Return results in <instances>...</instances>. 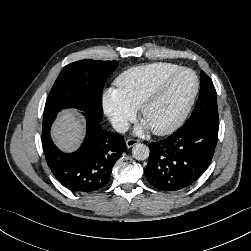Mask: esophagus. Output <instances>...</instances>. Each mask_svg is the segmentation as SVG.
Instances as JSON below:
<instances>
[{
  "label": "esophagus",
  "mask_w": 251,
  "mask_h": 251,
  "mask_svg": "<svg viewBox=\"0 0 251 251\" xmlns=\"http://www.w3.org/2000/svg\"><path fill=\"white\" fill-rule=\"evenodd\" d=\"M137 143H138V140H136V139H128L126 141V145H127L128 148L133 147Z\"/></svg>",
  "instance_id": "34e87169"
}]
</instances>
